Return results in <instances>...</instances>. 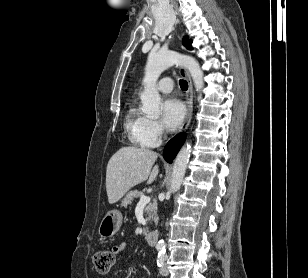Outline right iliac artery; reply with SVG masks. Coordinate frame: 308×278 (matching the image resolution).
I'll list each match as a JSON object with an SVG mask.
<instances>
[{
	"label": "right iliac artery",
	"instance_id": "82829eb1",
	"mask_svg": "<svg viewBox=\"0 0 308 278\" xmlns=\"http://www.w3.org/2000/svg\"><path fill=\"white\" fill-rule=\"evenodd\" d=\"M157 250H159V251H160V250H162V248H161V247H157Z\"/></svg>",
	"mask_w": 308,
	"mask_h": 278
}]
</instances>
